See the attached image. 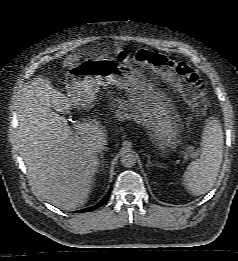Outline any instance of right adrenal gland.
Masks as SVG:
<instances>
[{"label":"right adrenal gland","instance_id":"right-adrenal-gland-1","mask_svg":"<svg viewBox=\"0 0 238 261\" xmlns=\"http://www.w3.org/2000/svg\"><path fill=\"white\" fill-rule=\"evenodd\" d=\"M108 148H105L104 150H107ZM99 168L100 167H105L106 168V161H105V159H104V154H103V152L101 151L100 152V161H99V166H98Z\"/></svg>","mask_w":238,"mask_h":261}]
</instances>
